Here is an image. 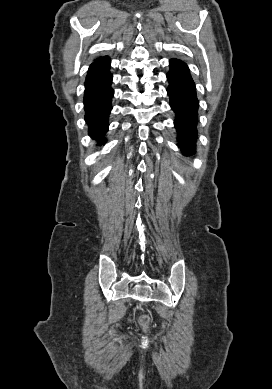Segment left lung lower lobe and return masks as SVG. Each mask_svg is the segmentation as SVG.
Segmentation results:
<instances>
[{"instance_id":"1","label":"left lung lower lobe","mask_w":272,"mask_h":389,"mask_svg":"<svg viewBox=\"0 0 272 389\" xmlns=\"http://www.w3.org/2000/svg\"><path fill=\"white\" fill-rule=\"evenodd\" d=\"M169 63L167 92L170 97V106L175 112L174 124L178 133V146L183 154L190 155L195 153L197 140L199 101L196 87L189 68L183 61L171 59Z\"/></svg>"}]
</instances>
